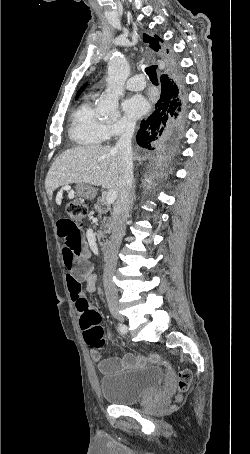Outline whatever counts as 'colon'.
<instances>
[{
	"label": "colon",
	"instance_id": "5ec220e1",
	"mask_svg": "<svg viewBox=\"0 0 250 454\" xmlns=\"http://www.w3.org/2000/svg\"><path fill=\"white\" fill-rule=\"evenodd\" d=\"M68 220L75 226L82 224L88 213V206L78 200L71 201L66 206ZM80 327L84 340L94 350H100L105 345L104 329L101 326V315L93 308L85 309L80 315ZM191 382V373L181 371L178 375V386L181 391L187 390Z\"/></svg>",
	"mask_w": 250,
	"mask_h": 454
}]
</instances>
